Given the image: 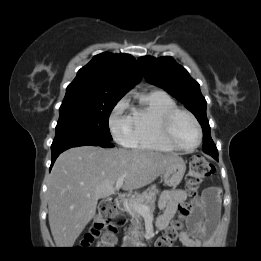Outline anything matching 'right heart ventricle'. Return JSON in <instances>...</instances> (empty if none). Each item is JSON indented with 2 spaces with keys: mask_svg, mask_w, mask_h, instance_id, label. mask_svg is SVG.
<instances>
[{
  "mask_svg": "<svg viewBox=\"0 0 261 261\" xmlns=\"http://www.w3.org/2000/svg\"><path fill=\"white\" fill-rule=\"evenodd\" d=\"M177 108L172 97L161 90L143 93L138 105L130 109L132 135L128 146L147 151L173 152L161 133V119L172 109Z\"/></svg>",
  "mask_w": 261,
  "mask_h": 261,
  "instance_id": "right-heart-ventricle-1",
  "label": "right heart ventricle"
}]
</instances>
